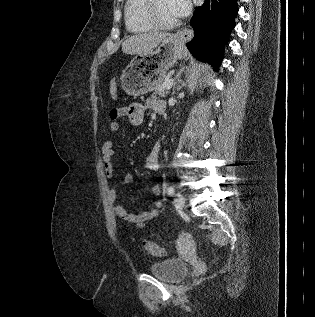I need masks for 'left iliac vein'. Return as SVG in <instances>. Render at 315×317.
<instances>
[{
    "label": "left iliac vein",
    "mask_w": 315,
    "mask_h": 317,
    "mask_svg": "<svg viewBox=\"0 0 315 317\" xmlns=\"http://www.w3.org/2000/svg\"><path fill=\"white\" fill-rule=\"evenodd\" d=\"M184 197L181 194H177L174 199V205L177 209H182L184 206Z\"/></svg>",
    "instance_id": "1"
}]
</instances>
